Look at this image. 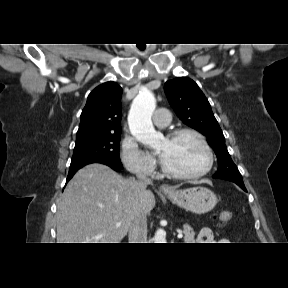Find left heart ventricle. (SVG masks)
Wrapping results in <instances>:
<instances>
[{"label": "left heart ventricle", "mask_w": 288, "mask_h": 288, "mask_svg": "<svg viewBox=\"0 0 288 288\" xmlns=\"http://www.w3.org/2000/svg\"><path fill=\"white\" fill-rule=\"evenodd\" d=\"M166 167L180 173H196L207 165V154L193 136L184 135L175 140L167 138L158 148Z\"/></svg>", "instance_id": "b2bd125f"}]
</instances>
